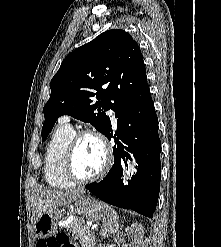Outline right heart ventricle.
Here are the masks:
<instances>
[{
    "mask_svg": "<svg viewBox=\"0 0 221 247\" xmlns=\"http://www.w3.org/2000/svg\"><path fill=\"white\" fill-rule=\"evenodd\" d=\"M73 134V128L61 122L47 144L44 155V174L46 181L52 187L69 188L74 184L64 171L65 153Z\"/></svg>",
    "mask_w": 221,
    "mask_h": 247,
    "instance_id": "1",
    "label": "right heart ventricle"
}]
</instances>
